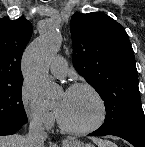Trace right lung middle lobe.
Masks as SVG:
<instances>
[{
	"label": "right lung middle lobe",
	"mask_w": 145,
	"mask_h": 147,
	"mask_svg": "<svg viewBox=\"0 0 145 147\" xmlns=\"http://www.w3.org/2000/svg\"><path fill=\"white\" fill-rule=\"evenodd\" d=\"M20 80L10 85H0V129L14 128L26 124L27 116L22 102Z\"/></svg>",
	"instance_id": "1"
}]
</instances>
